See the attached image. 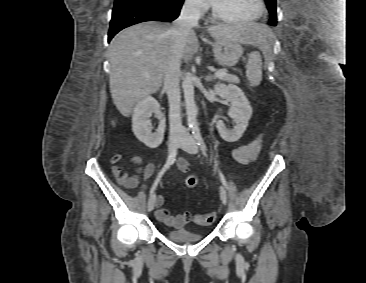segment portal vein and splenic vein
Wrapping results in <instances>:
<instances>
[{"mask_svg":"<svg viewBox=\"0 0 366 283\" xmlns=\"http://www.w3.org/2000/svg\"><path fill=\"white\" fill-rule=\"evenodd\" d=\"M227 72H228L227 69H222V70L216 71L215 76L216 77H223L227 74Z\"/></svg>","mask_w":366,"mask_h":283,"instance_id":"18ae733b","label":"portal vein and splenic vein"}]
</instances>
